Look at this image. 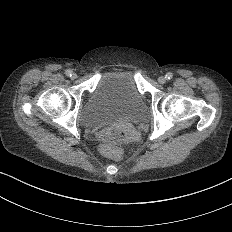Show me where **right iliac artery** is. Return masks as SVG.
I'll return each instance as SVG.
<instances>
[{
	"instance_id": "right-iliac-artery-1",
	"label": "right iliac artery",
	"mask_w": 232,
	"mask_h": 232,
	"mask_svg": "<svg viewBox=\"0 0 232 232\" xmlns=\"http://www.w3.org/2000/svg\"><path fill=\"white\" fill-rule=\"evenodd\" d=\"M66 75H67L68 77H71V76H72V71H71V70H66Z\"/></svg>"
}]
</instances>
